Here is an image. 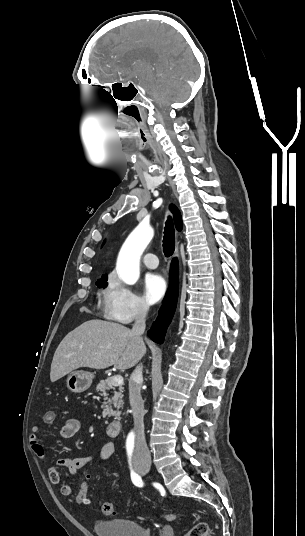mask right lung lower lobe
<instances>
[{"label":"right lung lower lobe","mask_w":305,"mask_h":536,"mask_svg":"<svg viewBox=\"0 0 305 536\" xmlns=\"http://www.w3.org/2000/svg\"><path fill=\"white\" fill-rule=\"evenodd\" d=\"M178 296V263L173 259L171 264V281L170 289L159 311V315L151 329L147 332L148 336L156 343L162 344L167 327L175 312Z\"/></svg>","instance_id":"1"}]
</instances>
